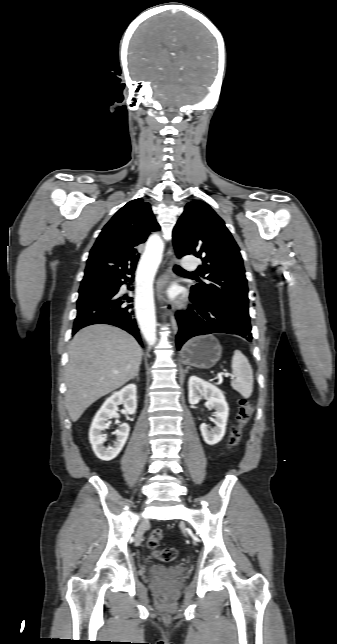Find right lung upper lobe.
Wrapping results in <instances>:
<instances>
[{"label": "right lung upper lobe", "instance_id": "cb5924a9", "mask_svg": "<svg viewBox=\"0 0 337 644\" xmlns=\"http://www.w3.org/2000/svg\"><path fill=\"white\" fill-rule=\"evenodd\" d=\"M160 229L150 204L142 199L128 202L104 226L90 251L82 282L114 280L136 267V247Z\"/></svg>", "mask_w": 337, "mask_h": 644}]
</instances>
